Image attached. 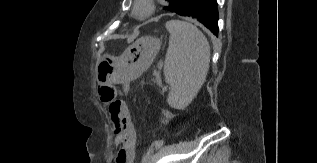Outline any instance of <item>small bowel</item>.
Segmentation results:
<instances>
[{"label":"small bowel","instance_id":"obj_1","mask_svg":"<svg viewBox=\"0 0 317 163\" xmlns=\"http://www.w3.org/2000/svg\"><path fill=\"white\" fill-rule=\"evenodd\" d=\"M124 112V116L119 118H113L110 114L117 136L116 142L120 147L116 153V163H131L136 145L135 128L125 104Z\"/></svg>","mask_w":317,"mask_h":163}]
</instances>
